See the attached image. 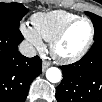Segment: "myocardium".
Segmentation results:
<instances>
[{
    "mask_svg": "<svg viewBox=\"0 0 102 102\" xmlns=\"http://www.w3.org/2000/svg\"><path fill=\"white\" fill-rule=\"evenodd\" d=\"M79 22H86L88 24L89 36H88L86 43L81 48V50L73 56H63V55L59 54L57 51L58 45L66 37V35L73 28V26ZM93 38H94V31H93L91 21L88 18L78 17V18L74 19L72 22H70L69 24H67L60 32H58L52 38V40L50 41L51 54L56 60H58L61 63H64V64L74 63V62L80 60L87 53V51L89 50V48L93 42Z\"/></svg>",
    "mask_w": 102,
    "mask_h": 102,
    "instance_id": "obj_1",
    "label": "myocardium"
}]
</instances>
